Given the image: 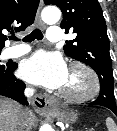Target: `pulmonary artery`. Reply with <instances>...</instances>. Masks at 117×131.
<instances>
[{
  "instance_id": "obj_1",
  "label": "pulmonary artery",
  "mask_w": 117,
  "mask_h": 131,
  "mask_svg": "<svg viewBox=\"0 0 117 131\" xmlns=\"http://www.w3.org/2000/svg\"><path fill=\"white\" fill-rule=\"evenodd\" d=\"M61 39V29L58 26H51L47 31V40L58 42ZM30 48L26 45L12 47L8 50L7 56L10 58L21 56L27 53Z\"/></svg>"
}]
</instances>
